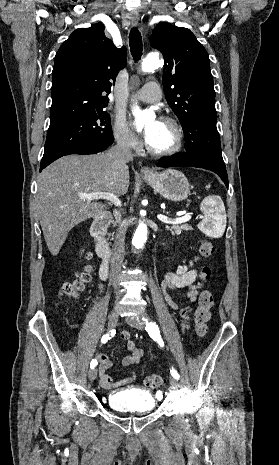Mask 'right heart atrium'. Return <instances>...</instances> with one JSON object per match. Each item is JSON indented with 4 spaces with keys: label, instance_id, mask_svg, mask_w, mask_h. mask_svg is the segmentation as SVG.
Returning a JSON list of instances; mask_svg holds the SVG:
<instances>
[{
    "label": "right heart atrium",
    "instance_id": "right-heart-atrium-1",
    "mask_svg": "<svg viewBox=\"0 0 279 465\" xmlns=\"http://www.w3.org/2000/svg\"><path fill=\"white\" fill-rule=\"evenodd\" d=\"M113 136L117 145L124 150H136L140 145L139 140L130 131L127 123L122 117H117L114 122Z\"/></svg>",
    "mask_w": 279,
    "mask_h": 465
}]
</instances>
